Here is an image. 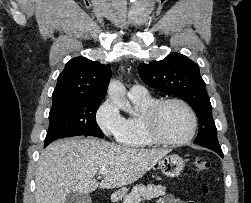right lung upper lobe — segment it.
<instances>
[{
  "mask_svg": "<svg viewBox=\"0 0 251 203\" xmlns=\"http://www.w3.org/2000/svg\"><path fill=\"white\" fill-rule=\"evenodd\" d=\"M110 77L111 70L108 65L85 57L71 59L58 76L52 94V107L77 100L103 99Z\"/></svg>",
  "mask_w": 251,
  "mask_h": 203,
  "instance_id": "1",
  "label": "right lung upper lobe"
}]
</instances>
